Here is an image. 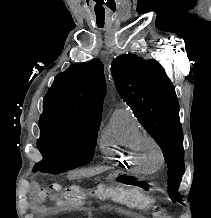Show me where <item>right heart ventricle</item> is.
Returning <instances> with one entry per match:
<instances>
[{
	"instance_id": "e07e8e85",
	"label": "right heart ventricle",
	"mask_w": 211,
	"mask_h": 218,
	"mask_svg": "<svg viewBox=\"0 0 211 218\" xmlns=\"http://www.w3.org/2000/svg\"><path fill=\"white\" fill-rule=\"evenodd\" d=\"M144 135L134 111L128 106L119 107L101 133L102 156L108 157L110 165H118V169H146L137 157Z\"/></svg>"
}]
</instances>
